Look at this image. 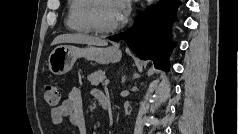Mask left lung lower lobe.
Masks as SVG:
<instances>
[{
    "label": "left lung lower lobe",
    "mask_w": 239,
    "mask_h": 134,
    "mask_svg": "<svg viewBox=\"0 0 239 134\" xmlns=\"http://www.w3.org/2000/svg\"><path fill=\"white\" fill-rule=\"evenodd\" d=\"M179 5V0H162L158 7L138 16L130 29L109 39L124 40L141 59H151L156 68L168 71L170 24Z\"/></svg>",
    "instance_id": "0a47b994"
}]
</instances>
